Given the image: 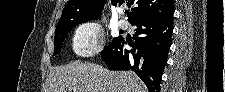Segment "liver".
Listing matches in <instances>:
<instances>
[{
    "label": "liver",
    "mask_w": 225,
    "mask_h": 92,
    "mask_svg": "<svg viewBox=\"0 0 225 92\" xmlns=\"http://www.w3.org/2000/svg\"><path fill=\"white\" fill-rule=\"evenodd\" d=\"M131 71H109L90 62L55 67L47 79V92H146Z\"/></svg>",
    "instance_id": "obj_1"
}]
</instances>
